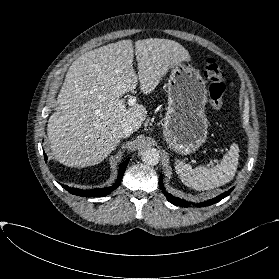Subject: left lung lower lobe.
I'll return each mask as SVG.
<instances>
[{
	"label": "left lung lower lobe",
	"mask_w": 279,
	"mask_h": 279,
	"mask_svg": "<svg viewBox=\"0 0 279 279\" xmlns=\"http://www.w3.org/2000/svg\"><path fill=\"white\" fill-rule=\"evenodd\" d=\"M159 185H160V188L163 190V193L166 196L167 200L170 203H172L176 206H181V207H188L190 205L189 202H186V201H184L180 198L174 197V196H172L171 194H169L168 192L165 191L163 181H162V175H160V178H159ZM233 189H234V187L231 188L230 190L226 191L225 193L213 198V199H210V200H207V201H204V202L200 203L199 206L202 207V206H208V205L215 204V203L219 202L220 200H222L223 198H225L226 196H228L232 192ZM192 205L194 206L195 204H192Z\"/></svg>",
	"instance_id": "obj_1"
}]
</instances>
